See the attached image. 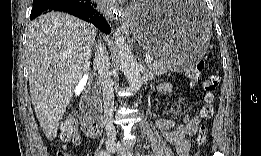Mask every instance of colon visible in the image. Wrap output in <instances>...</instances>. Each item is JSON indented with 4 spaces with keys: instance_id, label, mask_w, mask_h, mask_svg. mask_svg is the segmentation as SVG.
Masks as SVG:
<instances>
[{
    "instance_id": "1",
    "label": "colon",
    "mask_w": 261,
    "mask_h": 156,
    "mask_svg": "<svg viewBox=\"0 0 261 156\" xmlns=\"http://www.w3.org/2000/svg\"><path fill=\"white\" fill-rule=\"evenodd\" d=\"M204 63L198 61L193 67H191L187 76L191 84H195L199 81L201 72L203 70ZM220 79L216 75H209L205 78L202 83L204 90V103L200 110V115L203 119L202 124L199 126L198 132L196 134V143L198 145H203L207 139V125L206 122L209 121L214 114V99L217 89L219 87ZM84 131L87 135L95 137L99 135L100 129L96 124H90L83 121L82 125ZM81 125L75 115H70L64 122L61 129V137L65 142H77L79 138ZM61 155H66V153L61 152Z\"/></svg>"
}]
</instances>
